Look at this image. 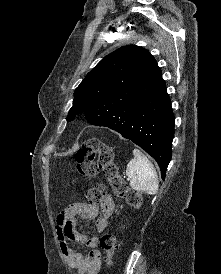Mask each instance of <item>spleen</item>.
<instances>
[{"label": "spleen", "mask_w": 221, "mask_h": 274, "mask_svg": "<svg viewBox=\"0 0 221 274\" xmlns=\"http://www.w3.org/2000/svg\"><path fill=\"white\" fill-rule=\"evenodd\" d=\"M133 155L134 158L126 168V174L130 178V186L136 191L156 194L159 182L153 164L138 149L133 150Z\"/></svg>", "instance_id": "spleen-1"}]
</instances>
